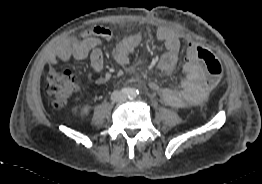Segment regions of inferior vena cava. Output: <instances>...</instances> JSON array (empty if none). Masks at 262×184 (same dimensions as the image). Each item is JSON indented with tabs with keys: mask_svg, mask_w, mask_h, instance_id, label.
<instances>
[{
	"mask_svg": "<svg viewBox=\"0 0 262 184\" xmlns=\"http://www.w3.org/2000/svg\"><path fill=\"white\" fill-rule=\"evenodd\" d=\"M125 98V95L122 94L120 91H114L111 95V99L113 101H123Z\"/></svg>",
	"mask_w": 262,
	"mask_h": 184,
	"instance_id": "inferior-vena-cava-1",
	"label": "inferior vena cava"
}]
</instances>
